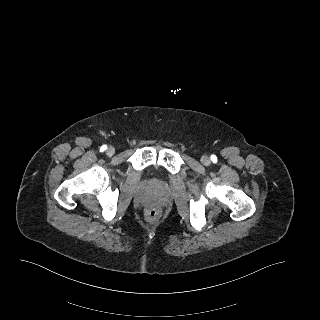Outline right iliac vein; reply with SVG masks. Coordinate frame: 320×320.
Returning <instances> with one entry per match:
<instances>
[{
	"label": "right iliac vein",
	"mask_w": 320,
	"mask_h": 320,
	"mask_svg": "<svg viewBox=\"0 0 320 320\" xmlns=\"http://www.w3.org/2000/svg\"><path fill=\"white\" fill-rule=\"evenodd\" d=\"M115 153V149L113 147H109L106 151L108 156H112Z\"/></svg>",
	"instance_id": "right-iliac-vein-1"
}]
</instances>
